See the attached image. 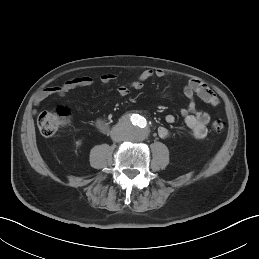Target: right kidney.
Returning <instances> with one entry per match:
<instances>
[{
    "instance_id": "1",
    "label": "right kidney",
    "mask_w": 259,
    "mask_h": 259,
    "mask_svg": "<svg viewBox=\"0 0 259 259\" xmlns=\"http://www.w3.org/2000/svg\"><path fill=\"white\" fill-rule=\"evenodd\" d=\"M79 145H81V141L80 140L76 142V146H79Z\"/></svg>"
}]
</instances>
